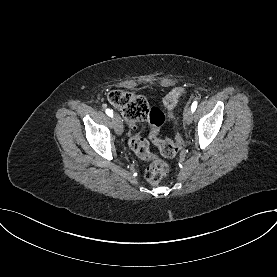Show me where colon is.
<instances>
[{"mask_svg": "<svg viewBox=\"0 0 277 277\" xmlns=\"http://www.w3.org/2000/svg\"><path fill=\"white\" fill-rule=\"evenodd\" d=\"M184 93V88L177 87L166 95L164 105L170 115ZM107 98L113 107L122 112L132 126L144 121L149 123L151 126L150 139L158 146L163 156L171 158L176 155L183 144V140L180 133L176 134L174 141L159 138L160 127L165 119L161 110L150 108L144 97L126 91H111ZM129 145L140 158L151 161L145 170L146 180L151 184L159 183L168 173L167 163L150 152L148 142L140 135H133L129 140Z\"/></svg>", "mask_w": 277, "mask_h": 277, "instance_id": "colon-1", "label": "colon"}]
</instances>
